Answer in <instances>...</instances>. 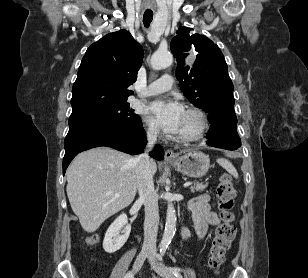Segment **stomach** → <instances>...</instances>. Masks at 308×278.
Returning a JSON list of instances; mask_svg holds the SVG:
<instances>
[{
	"label": "stomach",
	"instance_id": "obj_1",
	"mask_svg": "<svg viewBox=\"0 0 308 278\" xmlns=\"http://www.w3.org/2000/svg\"><path fill=\"white\" fill-rule=\"evenodd\" d=\"M169 164L186 176L199 178L209 170L210 160L203 152L192 150Z\"/></svg>",
	"mask_w": 308,
	"mask_h": 278
}]
</instances>
